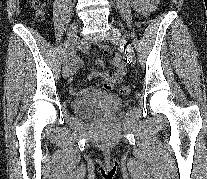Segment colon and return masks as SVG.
<instances>
[{"mask_svg": "<svg viewBox=\"0 0 207 179\" xmlns=\"http://www.w3.org/2000/svg\"><path fill=\"white\" fill-rule=\"evenodd\" d=\"M29 2L36 17L38 19H42L47 5V0H29ZM120 92L123 95H127L131 92V88L128 85H123L120 88Z\"/></svg>", "mask_w": 207, "mask_h": 179, "instance_id": "5ec220e1", "label": "colon"}]
</instances>
